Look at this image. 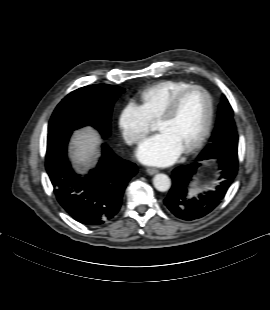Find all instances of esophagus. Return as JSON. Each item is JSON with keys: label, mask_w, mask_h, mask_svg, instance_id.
<instances>
[{"label": "esophagus", "mask_w": 270, "mask_h": 310, "mask_svg": "<svg viewBox=\"0 0 270 310\" xmlns=\"http://www.w3.org/2000/svg\"><path fill=\"white\" fill-rule=\"evenodd\" d=\"M146 172H147L149 175H154V174L158 173L159 170L156 169V168H147V169H146Z\"/></svg>", "instance_id": "esophagus-1"}]
</instances>
